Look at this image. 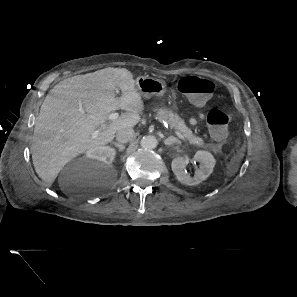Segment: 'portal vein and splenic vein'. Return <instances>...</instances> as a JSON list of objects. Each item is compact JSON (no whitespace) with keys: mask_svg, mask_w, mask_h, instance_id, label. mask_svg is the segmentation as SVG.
I'll return each mask as SVG.
<instances>
[{"mask_svg":"<svg viewBox=\"0 0 297 297\" xmlns=\"http://www.w3.org/2000/svg\"><path fill=\"white\" fill-rule=\"evenodd\" d=\"M118 117H119V114H118V113H111V114L109 115V120H115V119H117ZM175 134H176L180 139L185 140L184 136H183L180 132H178V131L175 130ZM96 136H97V132L94 133V134L92 135V138H95Z\"/></svg>","mask_w":297,"mask_h":297,"instance_id":"18ae733b","label":"portal vein and splenic vein"}]
</instances>
